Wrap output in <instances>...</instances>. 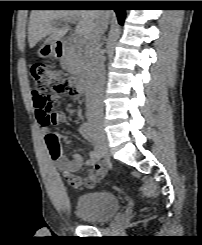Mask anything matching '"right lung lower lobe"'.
<instances>
[{
  "instance_id": "98d812e1",
  "label": "right lung lower lobe",
  "mask_w": 202,
  "mask_h": 245,
  "mask_svg": "<svg viewBox=\"0 0 202 245\" xmlns=\"http://www.w3.org/2000/svg\"><path fill=\"white\" fill-rule=\"evenodd\" d=\"M90 6L113 7L118 17L119 24H123L125 18V10L122 7L121 1H94L90 2Z\"/></svg>"
}]
</instances>
